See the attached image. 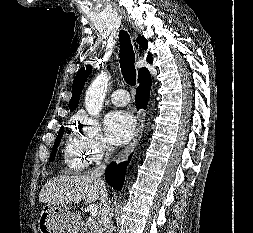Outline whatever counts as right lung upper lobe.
<instances>
[{"label":"right lung upper lobe","mask_w":253,"mask_h":233,"mask_svg":"<svg viewBox=\"0 0 253 233\" xmlns=\"http://www.w3.org/2000/svg\"><path fill=\"white\" fill-rule=\"evenodd\" d=\"M137 42L141 46L142 49L147 50L148 42L143 36L138 37ZM152 60H153L152 55L148 53L147 61L152 62ZM144 71H147V69L145 67L141 68L138 72L139 76H141ZM91 72H92V67L90 65H87L86 69L82 67L78 71L76 77L74 78L73 85H72L73 94L68 105L70 111L75 110L76 107L78 106L82 88L85 84V81L87 80V77L90 75Z\"/></svg>","instance_id":"cb5924a9"}]
</instances>
